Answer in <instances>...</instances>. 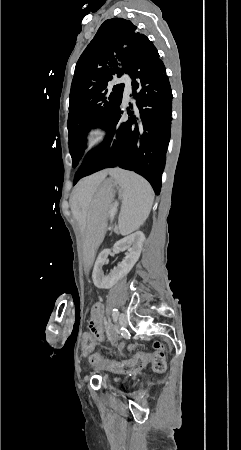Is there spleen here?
<instances>
[{
  "mask_svg": "<svg viewBox=\"0 0 241 450\" xmlns=\"http://www.w3.org/2000/svg\"><path fill=\"white\" fill-rule=\"evenodd\" d=\"M110 176L122 188L123 204L119 214V230L122 236L138 230L147 220L154 202V192L142 176L114 168Z\"/></svg>",
  "mask_w": 241,
  "mask_h": 450,
  "instance_id": "1",
  "label": "spleen"
}]
</instances>
